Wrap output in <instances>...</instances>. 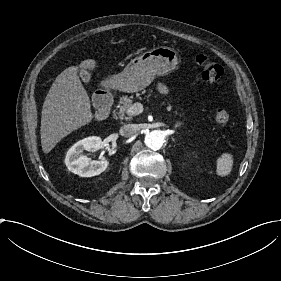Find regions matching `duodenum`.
Segmentation results:
<instances>
[{"instance_id":"duodenum-1","label":"duodenum","mask_w":281,"mask_h":281,"mask_svg":"<svg viewBox=\"0 0 281 281\" xmlns=\"http://www.w3.org/2000/svg\"><path fill=\"white\" fill-rule=\"evenodd\" d=\"M96 103L99 107L98 115L100 118H105L111 108L112 105V98L107 93H102L96 97Z\"/></svg>"}]
</instances>
